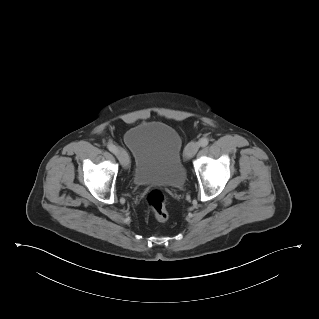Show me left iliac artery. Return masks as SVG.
I'll return each mask as SVG.
<instances>
[{
    "label": "left iliac artery",
    "mask_w": 319,
    "mask_h": 319,
    "mask_svg": "<svg viewBox=\"0 0 319 319\" xmlns=\"http://www.w3.org/2000/svg\"><path fill=\"white\" fill-rule=\"evenodd\" d=\"M209 144V139L208 138H201L200 141H199V145L201 147H205Z\"/></svg>",
    "instance_id": "left-iliac-artery-1"
}]
</instances>
